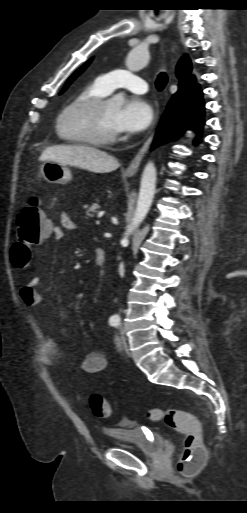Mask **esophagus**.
I'll list each match as a JSON object with an SVG mask.
<instances>
[{"label":"esophagus","instance_id":"1","mask_svg":"<svg viewBox=\"0 0 247 513\" xmlns=\"http://www.w3.org/2000/svg\"><path fill=\"white\" fill-rule=\"evenodd\" d=\"M154 137V132H152L150 134V136L148 137V139L144 142V144L142 145V147L139 149L138 153L136 154V156L133 158V160L131 161V163L129 164V166L127 167L125 173L126 175H129V176H132L134 174L137 173L138 171V168H139V165L141 163V160L142 158L144 157L147 149L149 148V145L152 141Z\"/></svg>","mask_w":247,"mask_h":513}]
</instances>
